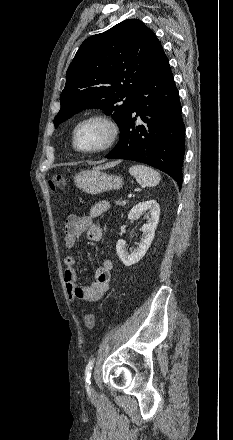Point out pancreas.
<instances>
[{
	"mask_svg": "<svg viewBox=\"0 0 233 440\" xmlns=\"http://www.w3.org/2000/svg\"><path fill=\"white\" fill-rule=\"evenodd\" d=\"M127 202L128 201H126V200L119 199V200L116 201V204L119 205V206H124V205L127 204Z\"/></svg>",
	"mask_w": 233,
	"mask_h": 440,
	"instance_id": "cf45deb5",
	"label": "pancreas"
}]
</instances>
